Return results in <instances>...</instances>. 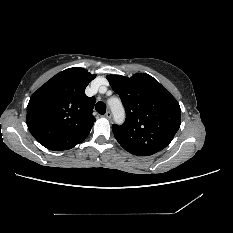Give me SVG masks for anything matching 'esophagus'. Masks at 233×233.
<instances>
[{"label":"esophagus","instance_id":"esophagus-1","mask_svg":"<svg viewBox=\"0 0 233 233\" xmlns=\"http://www.w3.org/2000/svg\"><path fill=\"white\" fill-rule=\"evenodd\" d=\"M112 116L110 111H107L106 114L104 115L105 118L110 119Z\"/></svg>","mask_w":233,"mask_h":233}]
</instances>
